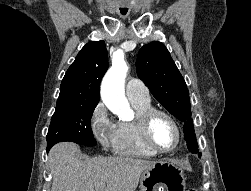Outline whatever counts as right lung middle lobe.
I'll use <instances>...</instances> for the list:
<instances>
[{"label": "right lung middle lobe", "instance_id": "obj_1", "mask_svg": "<svg viewBox=\"0 0 251 191\" xmlns=\"http://www.w3.org/2000/svg\"><path fill=\"white\" fill-rule=\"evenodd\" d=\"M97 104L56 107L47 134V151L56 143L72 141L86 146L97 143L91 129V117Z\"/></svg>", "mask_w": 251, "mask_h": 191}]
</instances>
